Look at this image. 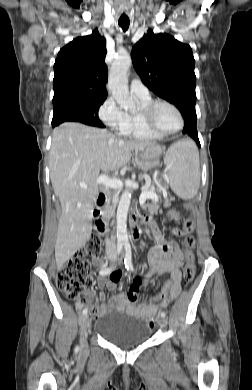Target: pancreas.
<instances>
[{
    "mask_svg": "<svg viewBox=\"0 0 252 390\" xmlns=\"http://www.w3.org/2000/svg\"><path fill=\"white\" fill-rule=\"evenodd\" d=\"M116 197H117V195H115V198ZM160 203L159 202H152L151 204L145 205L146 210H148V212H149V216H151V217H157L158 216V213L160 212ZM170 204H171V200L165 198L164 206L165 207H169Z\"/></svg>",
    "mask_w": 252,
    "mask_h": 390,
    "instance_id": "1",
    "label": "pancreas"
}]
</instances>
